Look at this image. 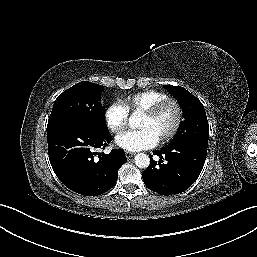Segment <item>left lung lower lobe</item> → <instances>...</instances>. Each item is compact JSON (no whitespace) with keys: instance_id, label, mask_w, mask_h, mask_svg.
<instances>
[{"instance_id":"0a47b994","label":"left lung lower lobe","mask_w":257,"mask_h":257,"mask_svg":"<svg viewBox=\"0 0 257 257\" xmlns=\"http://www.w3.org/2000/svg\"><path fill=\"white\" fill-rule=\"evenodd\" d=\"M153 153L161 160L158 163L151 160L142 173L144 183L153 192L172 195L185 191L196 181L205 163L207 144L186 142L167 145Z\"/></svg>"}]
</instances>
